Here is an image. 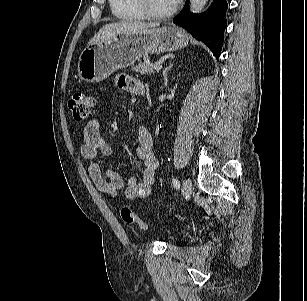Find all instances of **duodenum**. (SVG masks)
Wrapping results in <instances>:
<instances>
[{"label":"duodenum","mask_w":307,"mask_h":301,"mask_svg":"<svg viewBox=\"0 0 307 301\" xmlns=\"http://www.w3.org/2000/svg\"><path fill=\"white\" fill-rule=\"evenodd\" d=\"M139 94L144 95V94H145V90H144V89H141V90L139 91Z\"/></svg>","instance_id":"duodenum-1"}]
</instances>
